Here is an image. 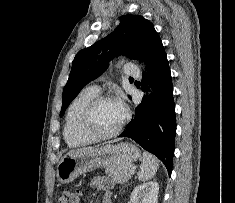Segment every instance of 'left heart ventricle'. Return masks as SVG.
<instances>
[{
	"label": "left heart ventricle",
	"mask_w": 235,
	"mask_h": 203,
	"mask_svg": "<svg viewBox=\"0 0 235 203\" xmlns=\"http://www.w3.org/2000/svg\"><path fill=\"white\" fill-rule=\"evenodd\" d=\"M124 117V108L116 100L100 103L93 115V126L100 132L114 130Z\"/></svg>",
	"instance_id": "obj_1"
}]
</instances>
